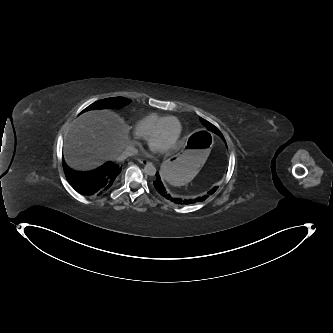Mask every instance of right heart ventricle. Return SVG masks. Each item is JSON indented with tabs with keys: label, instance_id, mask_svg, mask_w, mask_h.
<instances>
[{
	"label": "right heart ventricle",
	"instance_id": "1",
	"mask_svg": "<svg viewBox=\"0 0 333 333\" xmlns=\"http://www.w3.org/2000/svg\"><path fill=\"white\" fill-rule=\"evenodd\" d=\"M170 115L150 113L138 120L134 126L135 133L142 138H149L151 133L159 125V123ZM180 126V122L178 123Z\"/></svg>",
	"mask_w": 333,
	"mask_h": 333
}]
</instances>
